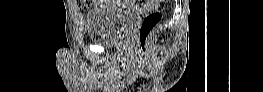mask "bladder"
I'll use <instances>...</instances> for the list:
<instances>
[{
	"mask_svg": "<svg viewBox=\"0 0 263 92\" xmlns=\"http://www.w3.org/2000/svg\"><path fill=\"white\" fill-rule=\"evenodd\" d=\"M86 17L88 38L108 46L117 45L127 34L138 12L133 9H124L118 6L117 1H100Z\"/></svg>",
	"mask_w": 263,
	"mask_h": 92,
	"instance_id": "31cf9c89",
	"label": "bladder"
}]
</instances>
